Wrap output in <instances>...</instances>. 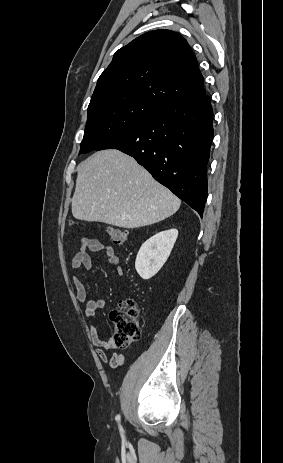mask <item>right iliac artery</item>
<instances>
[{
  "instance_id": "82829eb1",
  "label": "right iliac artery",
  "mask_w": 283,
  "mask_h": 463,
  "mask_svg": "<svg viewBox=\"0 0 283 463\" xmlns=\"http://www.w3.org/2000/svg\"><path fill=\"white\" fill-rule=\"evenodd\" d=\"M116 419H117L118 422H120V415H117ZM119 429H120V431L122 432V427H121L120 424H119Z\"/></svg>"
}]
</instances>
